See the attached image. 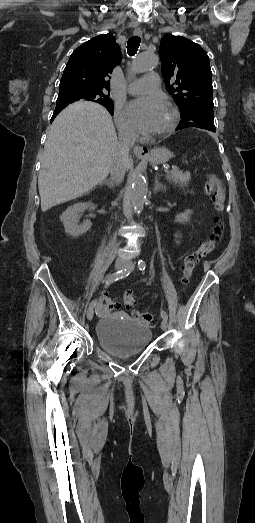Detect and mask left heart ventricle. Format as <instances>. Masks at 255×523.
Instances as JSON below:
<instances>
[{
  "mask_svg": "<svg viewBox=\"0 0 255 523\" xmlns=\"http://www.w3.org/2000/svg\"><path fill=\"white\" fill-rule=\"evenodd\" d=\"M172 121H173L172 110L165 104H162V106L156 112V114L152 120L150 129L148 131H146V136L149 138H155V137L162 135L169 129Z\"/></svg>",
  "mask_w": 255,
  "mask_h": 523,
  "instance_id": "1",
  "label": "left heart ventricle"
}]
</instances>
